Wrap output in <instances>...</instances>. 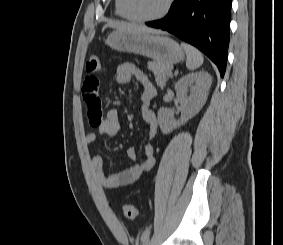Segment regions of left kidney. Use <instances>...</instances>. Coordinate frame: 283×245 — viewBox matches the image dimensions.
<instances>
[{
  "label": "left kidney",
  "instance_id": "1",
  "mask_svg": "<svg viewBox=\"0 0 283 245\" xmlns=\"http://www.w3.org/2000/svg\"><path fill=\"white\" fill-rule=\"evenodd\" d=\"M211 84V75L204 71L189 73L176 83L175 91L181 105V118L177 121L171 109L160 108L158 123L163 134L180 127L201 110L207 100Z\"/></svg>",
  "mask_w": 283,
  "mask_h": 245
}]
</instances>
